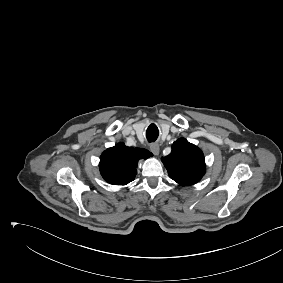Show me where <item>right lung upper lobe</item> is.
<instances>
[{"label":"right lung upper lobe","mask_w":283,"mask_h":283,"mask_svg":"<svg viewBox=\"0 0 283 283\" xmlns=\"http://www.w3.org/2000/svg\"><path fill=\"white\" fill-rule=\"evenodd\" d=\"M151 156L152 153L146 149L118 143L102 153L99 163L101 175L110 184L126 185L135 179L138 161Z\"/></svg>","instance_id":"right-lung-upper-lobe-1"}]
</instances>
